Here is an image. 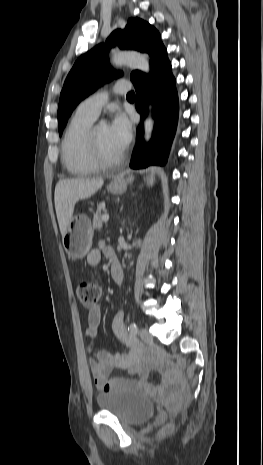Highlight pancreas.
Segmentation results:
<instances>
[{"instance_id": "obj_1", "label": "pancreas", "mask_w": 263, "mask_h": 465, "mask_svg": "<svg viewBox=\"0 0 263 465\" xmlns=\"http://www.w3.org/2000/svg\"><path fill=\"white\" fill-rule=\"evenodd\" d=\"M102 214H101V210L98 209L95 213H94V216H93V228L94 229H102L103 227V220H102Z\"/></svg>"}]
</instances>
